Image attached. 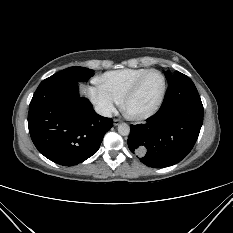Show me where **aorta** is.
Returning <instances> with one entry per match:
<instances>
[{"instance_id":"762f6f07","label":"aorta","mask_w":233,"mask_h":233,"mask_svg":"<svg viewBox=\"0 0 233 233\" xmlns=\"http://www.w3.org/2000/svg\"><path fill=\"white\" fill-rule=\"evenodd\" d=\"M118 132L120 135L127 136L130 133V127L126 123L118 125Z\"/></svg>"}]
</instances>
